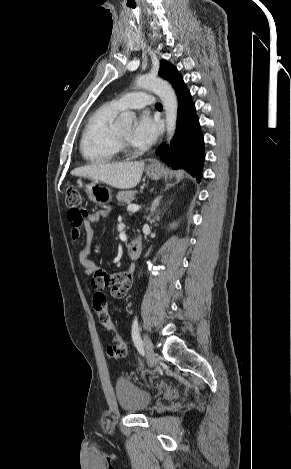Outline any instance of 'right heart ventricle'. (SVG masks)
I'll list each match as a JSON object with an SVG mask.
<instances>
[{"instance_id": "e07e8e85", "label": "right heart ventricle", "mask_w": 291, "mask_h": 469, "mask_svg": "<svg viewBox=\"0 0 291 469\" xmlns=\"http://www.w3.org/2000/svg\"><path fill=\"white\" fill-rule=\"evenodd\" d=\"M119 111L112 103H107L89 117L80 140V152L86 161L105 163L118 158L120 148L113 121Z\"/></svg>"}]
</instances>
